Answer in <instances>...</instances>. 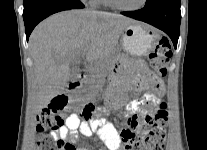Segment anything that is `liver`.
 <instances>
[{
  "mask_svg": "<svg viewBox=\"0 0 207 150\" xmlns=\"http://www.w3.org/2000/svg\"><path fill=\"white\" fill-rule=\"evenodd\" d=\"M135 20L93 10H69L42 21L29 39L34 62L29 105L38 114L52 98L62 93L70 67L80 65L86 54L88 63L110 56L124 29ZM83 52H85L83 54Z\"/></svg>",
  "mask_w": 207,
  "mask_h": 150,
  "instance_id": "obj_1",
  "label": "liver"
}]
</instances>
